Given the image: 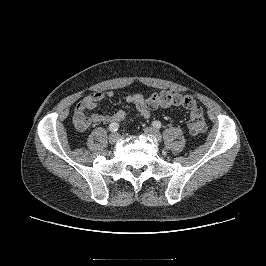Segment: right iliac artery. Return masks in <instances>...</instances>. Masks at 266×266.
Masks as SVG:
<instances>
[{"label":"right iliac artery","instance_id":"right-iliac-artery-1","mask_svg":"<svg viewBox=\"0 0 266 266\" xmlns=\"http://www.w3.org/2000/svg\"><path fill=\"white\" fill-rule=\"evenodd\" d=\"M118 128H119V124L118 123L113 122V123H111L109 125V130L111 132H116L118 130Z\"/></svg>","mask_w":266,"mask_h":266}]
</instances>
